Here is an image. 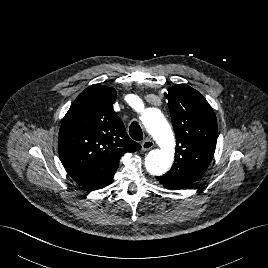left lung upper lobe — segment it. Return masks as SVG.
<instances>
[{
  "instance_id": "5c2ea615",
  "label": "left lung upper lobe",
  "mask_w": 268,
  "mask_h": 268,
  "mask_svg": "<svg viewBox=\"0 0 268 268\" xmlns=\"http://www.w3.org/2000/svg\"><path fill=\"white\" fill-rule=\"evenodd\" d=\"M176 135L172 168L157 180L170 190L190 186L208 168L216 147L217 121L207 100L195 89L179 84L165 93Z\"/></svg>"
}]
</instances>
